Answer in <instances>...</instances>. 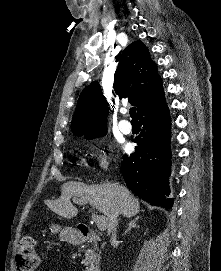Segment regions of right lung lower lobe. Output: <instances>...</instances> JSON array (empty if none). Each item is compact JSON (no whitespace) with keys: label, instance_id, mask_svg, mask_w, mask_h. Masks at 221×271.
Masks as SVG:
<instances>
[{"label":"right lung lower lobe","instance_id":"98d812e1","mask_svg":"<svg viewBox=\"0 0 221 271\" xmlns=\"http://www.w3.org/2000/svg\"><path fill=\"white\" fill-rule=\"evenodd\" d=\"M142 130L134 139L138 144L130 157L124 156L121 172L127 186L142 199L171 208L169 198L170 116L164 102L140 117Z\"/></svg>","mask_w":221,"mask_h":271}]
</instances>
